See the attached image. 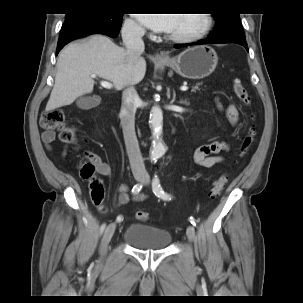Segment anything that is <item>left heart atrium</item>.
Wrapping results in <instances>:
<instances>
[{"label":"left heart atrium","mask_w":303,"mask_h":303,"mask_svg":"<svg viewBox=\"0 0 303 303\" xmlns=\"http://www.w3.org/2000/svg\"><path fill=\"white\" fill-rule=\"evenodd\" d=\"M177 14H137L138 19L156 32H171Z\"/></svg>","instance_id":"39dd6f15"}]
</instances>
